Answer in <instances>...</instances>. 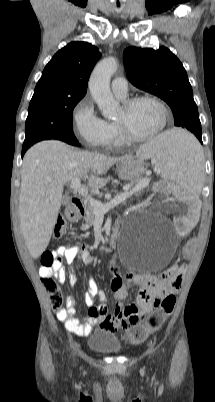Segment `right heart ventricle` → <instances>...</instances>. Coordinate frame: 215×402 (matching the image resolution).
Returning <instances> with one entry per match:
<instances>
[{"label":"right heart ventricle","mask_w":215,"mask_h":402,"mask_svg":"<svg viewBox=\"0 0 215 402\" xmlns=\"http://www.w3.org/2000/svg\"><path fill=\"white\" fill-rule=\"evenodd\" d=\"M121 100H124V98L122 97H118ZM109 124V127L111 129V137L110 140L108 142L109 145H113V146H121L125 143V140L122 138L119 129L117 127V124L115 121H111V122H107Z\"/></svg>","instance_id":"1"}]
</instances>
